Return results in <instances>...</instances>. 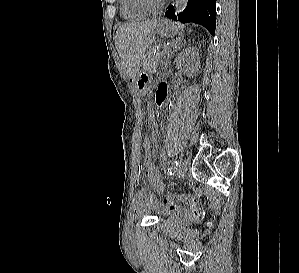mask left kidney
I'll return each instance as SVG.
<instances>
[{"label":"left kidney","mask_w":299,"mask_h":273,"mask_svg":"<svg viewBox=\"0 0 299 273\" xmlns=\"http://www.w3.org/2000/svg\"><path fill=\"white\" fill-rule=\"evenodd\" d=\"M175 63L180 72L193 77L198 73L200 67L198 52L192 47L183 49L177 55Z\"/></svg>","instance_id":"left-kidney-1"}]
</instances>
